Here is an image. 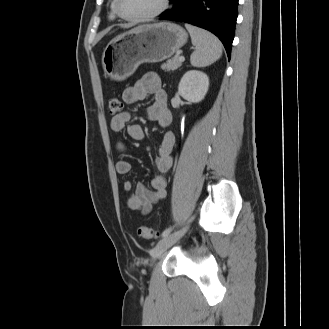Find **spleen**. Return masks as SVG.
Wrapping results in <instances>:
<instances>
[{
  "label": "spleen",
  "mask_w": 329,
  "mask_h": 329,
  "mask_svg": "<svg viewBox=\"0 0 329 329\" xmlns=\"http://www.w3.org/2000/svg\"><path fill=\"white\" fill-rule=\"evenodd\" d=\"M185 27L195 46V51L190 56L192 66L206 67L222 56V44L215 35L189 24H185Z\"/></svg>",
  "instance_id": "1"
}]
</instances>
